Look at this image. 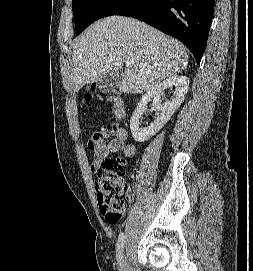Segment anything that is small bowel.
Returning <instances> with one entry per match:
<instances>
[{
    "label": "small bowel",
    "mask_w": 253,
    "mask_h": 271,
    "mask_svg": "<svg viewBox=\"0 0 253 271\" xmlns=\"http://www.w3.org/2000/svg\"><path fill=\"white\" fill-rule=\"evenodd\" d=\"M108 137L111 138L106 141ZM127 139L128 132L118 123L95 130L87 142L88 148L93 152L90 171L97 173L103 158L112 153L122 152L126 157L134 156L136 147L134 144H125Z\"/></svg>",
    "instance_id": "obj_1"
}]
</instances>
